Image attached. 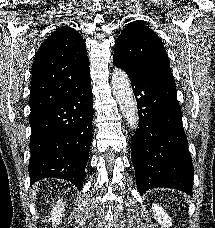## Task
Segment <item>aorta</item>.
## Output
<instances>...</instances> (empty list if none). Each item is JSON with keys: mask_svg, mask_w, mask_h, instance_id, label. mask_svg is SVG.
I'll return each instance as SVG.
<instances>
[{"mask_svg": "<svg viewBox=\"0 0 215 228\" xmlns=\"http://www.w3.org/2000/svg\"><path fill=\"white\" fill-rule=\"evenodd\" d=\"M111 84L113 96H115L129 128L136 130L139 120L137 104L126 72H123V70H114Z\"/></svg>", "mask_w": 215, "mask_h": 228, "instance_id": "aorta-1", "label": "aorta"}]
</instances>
